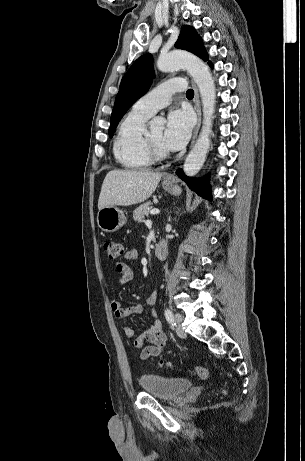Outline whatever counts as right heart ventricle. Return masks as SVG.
I'll list each match as a JSON object with an SVG mask.
<instances>
[{
    "label": "right heart ventricle",
    "mask_w": 305,
    "mask_h": 461,
    "mask_svg": "<svg viewBox=\"0 0 305 461\" xmlns=\"http://www.w3.org/2000/svg\"><path fill=\"white\" fill-rule=\"evenodd\" d=\"M150 116L131 110L121 121L114 141L116 160L125 168L140 170L152 164L145 147L146 121Z\"/></svg>",
    "instance_id": "e07e8e85"
}]
</instances>
